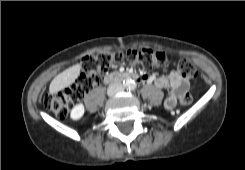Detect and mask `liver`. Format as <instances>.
<instances>
[{
  "mask_svg": "<svg viewBox=\"0 0 245 170\" xmlns=\"http://www.w3.org/2000/svg\"><path fill=\"white\" fill-rule=\"evenodd\" d=\"M81 65L76 64L58 74L50 83L49 92L57 93L60 90L72 85L80 75Z\"/></svg>",
  "mask_w": 245,
  "mask_h": 170,
  "instance_id": "liver-1",
  "label": "liver"
}]
</instances>
